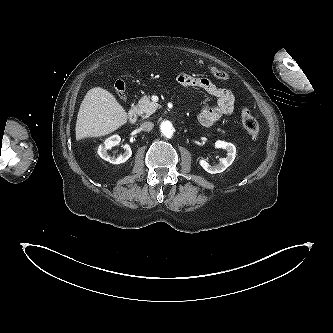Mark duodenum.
Instances as JSON below:
<instances>
[{
  "instance_id": "obj_1",
  "label": "duodenum",
  "mask_w": 333,
  "mask_h": 333,
  "mask_svg": "<svg viewBox=\"0 0 333 333\" xmlns=\"http://www.w3.org/2000/svg\"><path fill=\"white\" fill-rule=\"evenodd\" d=\"M138 113L137 108L132 105L128 113V121L130 123H135L137 121Z\"/></svg>"
}]
</instances>
